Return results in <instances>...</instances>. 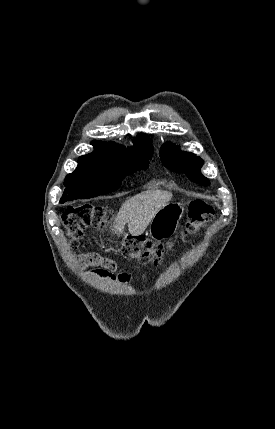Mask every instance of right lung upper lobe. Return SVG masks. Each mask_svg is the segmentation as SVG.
<instances>
[{
  "mask_svg": "<svg viewBox=\"0 0 275 429\" xmlns=\"http://www.w3.org/2000/svg\"><path fill=\"white\" fill-rule=\"evenodd\" d=\"M92 144L95 147V151L79 157V164H108L124 156L145 157L152 156L153 154V148L149 137L142 134L134 140V147L128 149L114 142L93 141Z\"/></svg>",
  "mask_w": 275,
  "mask_h": 429,
  "instance_id": "1",
  "label": "right lung upper lobe"
}]
</instances>
